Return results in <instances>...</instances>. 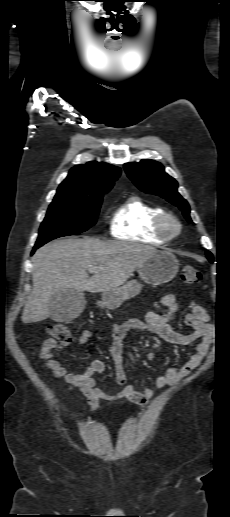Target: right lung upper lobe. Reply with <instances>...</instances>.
Segmentation results:
<instances>
[{
	"label": "right lung upper lobe",
	"instance_id": "obj_1",
	"mask_svg": "<svg viewBox=\"0 0 230 517\" xmlns=\"http://www.w3.org/2000/svg\"><path fill=\"white\" fill-rule=\"evenodd\" d=\"M120 169L104 162L73 167L59 185L54 198H90L108 192L120 176Z\"/></svg>",
	"mask_w": 230,
	"mask_h": 517
}]
</instances>
